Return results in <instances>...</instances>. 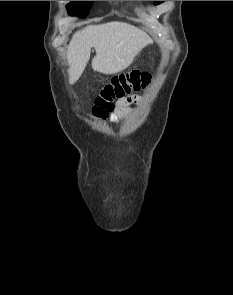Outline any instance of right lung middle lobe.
Segmentation results:
<instances>
[{"label": "right lung middle lobe", "instance_id": "obj_1", "mask_svg": "<svg viewBox=\"0 0 233 295\" xmlns=\"http://www.w3.org/2000/svg\"><path fill=\"white\" fill-rule=\"evenodd\" d=\"M93 4V1H72L66 6L69 15H79L82 18H85L90 8Z\"/></svg>", "mask_w": 233, "mask_h": 295}]
</instances>
